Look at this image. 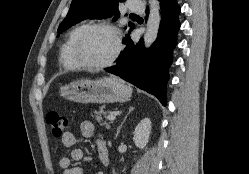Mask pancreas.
<instances>
[{
    "instance_id": "cf45deb5",
    "label": "pancreas",
    "mask_w": 249,
    "mask_h": 174,
    "mask_svg": "<svg viewBox=\"0 0 249 174\" xmlns=\"http://www.w3.org/2000/svg\"><path fill=\"white\" fill-rule=\"evenodd\" d=\"M94 114H95L96 120L99 123H103L104 125H106L107 129L110 128V123L104 121V118H107V116H106V112H104V110H103V107H100V111L95 110Z\"/></svg>"
}]
</instances>
